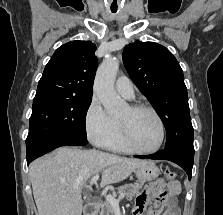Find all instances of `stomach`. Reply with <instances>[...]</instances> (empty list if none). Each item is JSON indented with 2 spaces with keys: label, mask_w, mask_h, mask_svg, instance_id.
<instances>
[{
  "label": "stomach",
  "mask_w": 223,
  "mask_h": 215,
  "mask_svg": "<svg viewBox=\"0 0 223 215\" xmlns=\"http://www.w3.org/2000/svg\"><path fill=\"white\" fill-rule=\"evenodd\" d=\"M134 173L139 180L152 181V179H156L160 173L159 167L153 163V161H147L144 165H140V167H135Z\"/></svg>",
  "instance_id": "0dacf381"
}]
</instances>
